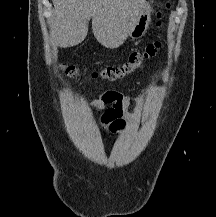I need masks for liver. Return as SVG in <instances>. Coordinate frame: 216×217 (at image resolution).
Here are the masks:
<instances>
[{"label": "liver", "instance_id": "liver-1", "mask_svg": "<svg viewBox=\"0 0 216 217\" xmlns=\"http://www.w3.org/2000/svg\"><path fill=\"white\" fill-rule=\"evenodd\" d=\"M146 0H53L51 36L55 43L71 47L87 36L92 18L96 40L107 48L124 43Z\"/></svg>", "mask_w": 216, "mask_h": 217}]
</instances>
